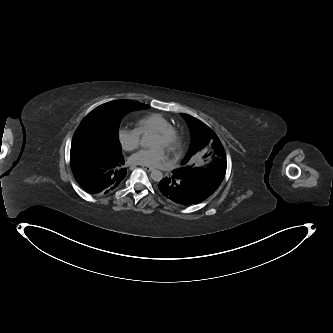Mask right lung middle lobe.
<instances>
[{
    "instance_id": "obj_1",
    "label": "right lung middle lobe",
    "mask_w": 333,
    "mask_h": 333,
    "mask_svg": "<svg viewBox=\"0 0 333 333\" xmlns=\"http://www.w3.org/2000/svg\"><path fill=\"white\" fill-rule=\"evenodd\" d=\"M138 102L116 100L102 104L92 110L80 123L72 143L89 142L111 156H121L119 125L127 113L142 109Z\"/></svg>"
}]
</instances>
